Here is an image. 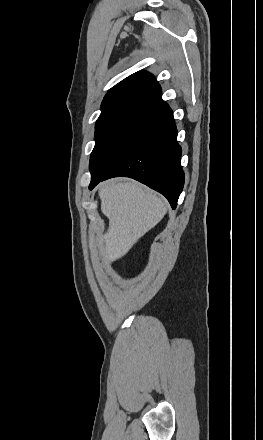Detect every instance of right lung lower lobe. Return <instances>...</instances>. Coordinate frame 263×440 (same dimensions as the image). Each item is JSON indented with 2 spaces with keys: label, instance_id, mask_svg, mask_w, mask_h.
Masks as SVG:
<instances>
[{
  "label": "right lung lower lobe",
  "instance_id": "98d812e1",
  "mask_svg": "<svg viewBox=\"0 0 263 440\" xmlns=\"http://www.w3.org/2000/svg\"><path fill=\"white\" fill-rule=\"evenodd\" d=\"M181 153L173 113L165 102L155 119L112 168L104 176L91 179L89 189L100 181L126 176L163 194L175 209L184 185Z\"/></svg>",
  "mask_w": 263,
  "mask_h": 440
}]
</instances>
